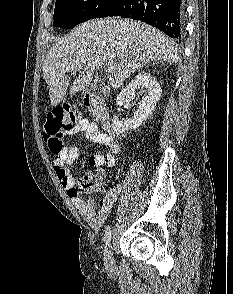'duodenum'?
Segmentation results:
<instances>
[{"mask_svg": "<svg viewBox=\"0 0 233 294\" xmlns=\"http://www.w3.org/2000/svg\"><path fill=\"white\" fill-rule=\"evenodd\" d=\"M82 102L84 107L101 124L106 132L111 131L109 112L102 100L90 91H84Z\"/></svg>", "mask_w": 233, "mask_h": 294, "instance_id": "1", "label": "duodenum"}]
</instances>
